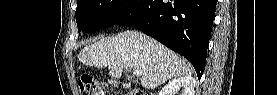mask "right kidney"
Segmentation results:
<instances>
[{
  "mask_svg": "<svg viewBox=\"0 0 277 95\" xmlns=\"http://www.w3.org/2000/svg\"><path fill=\"white\" fill-rule=\"evenodd\" d=\"M196 81L191 76H184L175 78L166 84L158 95H169L172 92L179 90L184 87V95H194V88Z\"/></svg>",
  "mask_w": 277,
  "mask_h": 95,
  "instance_id": "ca27d5eb",
  "label": "right kidney"
}]
</instances>
